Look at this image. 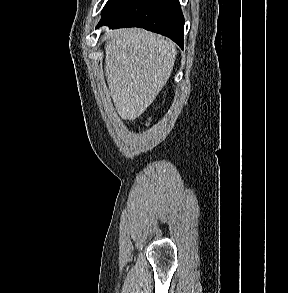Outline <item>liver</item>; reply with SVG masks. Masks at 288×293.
Instances as JSON below:
<instances>
[{"label":"liver","mask_w":288,"mask_h":293,"mask_svg":"<svg viewBox=\"0 0 288 293\" xmlns=\"http://www.w3.org/2000/svg\"><path fill=\"white\" fill-rule=\"evenodd\" d=\"M105 73L118 114L141 116L167 83L175 63L176 44L140 28L107 30Z\"/></svg>","instance_id":"liver-1"}]
</instances>
